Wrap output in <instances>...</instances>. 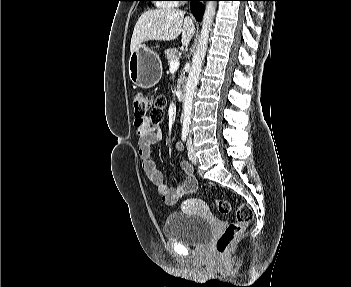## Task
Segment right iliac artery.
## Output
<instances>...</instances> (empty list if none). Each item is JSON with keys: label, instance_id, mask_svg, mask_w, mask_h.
<instances>
[{"label": "right iliac artery", "instance_id": "right-iliac-artery-1", "mask_svg": "<svg viewBox=\"0 0 351 287\" xmlns=\"http://www.w3.org/2000/svg\"><path fill=\"white\" fill-rule=\"evenodd\" d=\"M188 133L187 132H183L182 133V140L185 142L187 139Z\"/></svg>", "mask_w": 351, "mask_h": 287}]
</instances>
